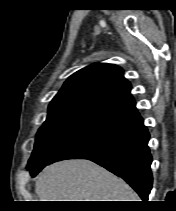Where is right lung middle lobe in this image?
I'll use <instances>...</instances> for the list:
<instances>
[{
    "label": "right lung middle lobe",
    "mask_w": 176,
    "mask_h": 211,
    "mask_svg": "<svg viewBox=\"0 0 176 211\" xmlns=\"http://www.w3.org/2000/svg\"><path fill=\"white\" fill-rule=\"evenodd\" d=\"M97 124V122L67 116H48L37 133L34 150L27 166L28 170L33 172L45 166L58 152Z\"/></svg>",
    "instance_id": "1"
}]
</instances>
